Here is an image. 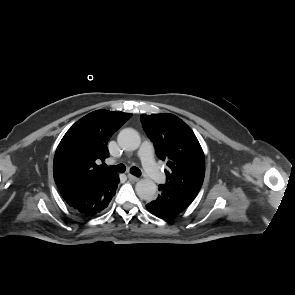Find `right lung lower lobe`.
I'll return each mask as SVG.
<instances>
[{
	"mask_svg": "<svg viewBox=\"0 0 295 295\" xmlns=\"http://www.w3.org/2000/svg\"><path fill=\"white\" fill-rule=\"evenodd\" d=\"M118 183L119 175L116 173L94 186L64 191L61 195L69 206L85 216L93 217L108 206L115 195Z\"/></svg>",
	"mask_w": 295,
	"mask_h": 295,
	"instance_id": "obj_1",
	"label": "right lung lower lobe"
}]
</instances>
